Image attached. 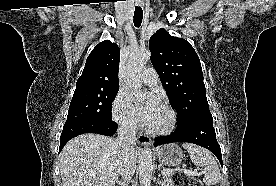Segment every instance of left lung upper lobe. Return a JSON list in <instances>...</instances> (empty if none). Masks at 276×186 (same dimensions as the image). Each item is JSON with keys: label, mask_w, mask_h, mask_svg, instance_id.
Wrapping results in <instances>:
<instances>
[{"label": "left lung upper lobe", "mask_w": 276, "mask_h": 186, "mask_svg": "<svg viewBox=\"0 0 276 186\" xmlns=\"http://www.w3.org/2000/svg\"><path fill=\"white\" fill-rule=\"evenodd\" d=\"M149 49L170 104L179 114L177 127L212 117L201 63L191 44L160 29L151 36Z\"/></svg>", "instance_id": "obj_1"}]
</instances>
